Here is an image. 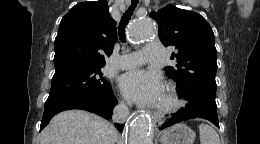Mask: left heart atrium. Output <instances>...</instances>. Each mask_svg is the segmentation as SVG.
<instances>
[{
    "mask_svg": "<svg viewBox=\"0 0 260 144\" xmlns=\"http://www.w3.org/2000/svg\"><path fill=\"white\" fill-rule=\"evenodd\" d=\"M121 88L129 99L142 105H157L164 93L160 77L144 70L124 74L121 78Z\"/></svg>",
    "mask_w": 260,
    "mask_h": 144,
    "instance_id": "obj_1",
    "label": "left heart atrium"
}]
</instances>
